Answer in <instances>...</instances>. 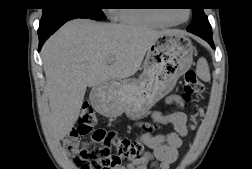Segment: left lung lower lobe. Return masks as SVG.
<instances>
[{
    "label": "left lung lower lobe",
    "mask_w": 252,
    "mask_h": 169,
    "mask_svg": "<svg viewBox=\"0 0 252 169\" xmlns=\"http://www.w3.org/2000/svg\"><path fill=\"white\" fill-rule=\"evenodd\" d=\"M187 31H189V30H187ZM189 32L205 39L213 47V49L215 48L214 43H213V39H212V35L205 34L204 32H199V31H189Z\"/></svg>",
    "instance_id": "left-lung-lower-lobe-1"
}]
</instances>
